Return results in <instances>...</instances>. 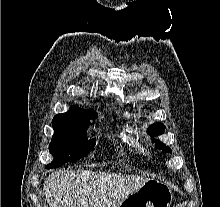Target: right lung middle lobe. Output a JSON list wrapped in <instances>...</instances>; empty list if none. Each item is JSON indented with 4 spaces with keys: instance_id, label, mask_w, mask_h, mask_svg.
<instances>
[{
    "instance_id": "1",
    "label": "right lung middle lobe",
    "mask_w": 220,
    "mask_h": 207,
    "mask_svg": "<svg viewBox=\"0 0 220 207\" xmlns=\"http://www.w3.org/2000/svg\"><path fill=\"white\" fill-rule=\"evenodd\" d=\"M90 118L93 117L78 112L75 106L66 113L54 116V135L49 146L54 160L46 165V168H55L76 161L94 148L96 139L85 138Z\"/></svg>"
}]
</instances>
